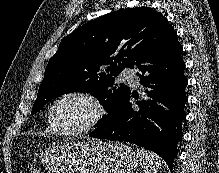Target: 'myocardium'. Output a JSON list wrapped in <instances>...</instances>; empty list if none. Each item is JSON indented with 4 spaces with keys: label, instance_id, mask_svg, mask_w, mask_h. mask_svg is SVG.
Returning a JSON list of instances; mask_svg holds the SVG:
<instances>
[{
    "label": "myocardium",
    "instance_id": "f54148a6",
    "mask_svg": "<svg viewBox=\"0 0 219 173\" xmlns=\"http://www.w3.org/2000/svg\"><path fill=\"white\" fill-rule=\"evenodd\" d=\"M73 97L80 98L86 101L92 108V114L90 118L87 120V122L81 127H79L78 129L72 131H63L58 127V125L55 122L54 112L57 105L60 102H62L65 99L73 98ZM105 115H106L105 105L96 95L85 90H72L61 94L53 101L48 113V122L52 131L56 135L70 138V137H78L94 130L102 122Z\"/></svg>",
    "mask_w": 219,
    "mask_h": 173
}]
</instances>
